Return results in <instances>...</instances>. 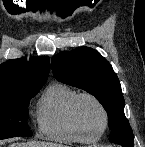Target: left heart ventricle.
<instances>
[{"label": "left heart ventricle", "mask_w": 145, "mask_h": 147, "mask_svg": "<svg viewBox=\"0 0 145 147\" xmlns=\"http://www.w3.org/2000/svg\"><path fill=\"white\" fill-rule=\"evenodd\" d=\"M78 115L81 125L89 135L99 133L103 128V115L99 107L90 99L80 100Z\"/></svg>", "instance_id": "b2bd125f"}]
</instances>
